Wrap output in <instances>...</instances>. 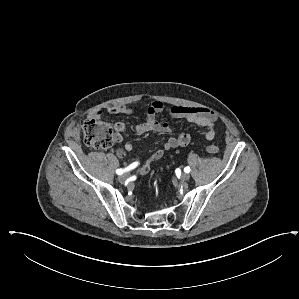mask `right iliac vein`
Segmentation results:
<instances>
[{"label": "right iliac vein", "mask_w": 299, "mask_h": 299, "mask_svg": "<svg viewBox=\"0 0 299 299\" xmlns=\"http://www.w3.org/2000/svg\"><path fill=\"white\" fill-rule=\"evenodd\" d=\"M128 174H123L121 176H119L118 180L120 183H124L127 179H128Z\"/></svg>", "instance_id": "right-iliac-vein-1"}]
</instances>
